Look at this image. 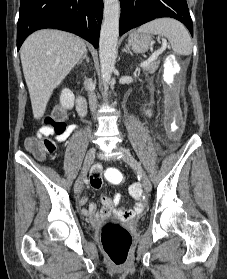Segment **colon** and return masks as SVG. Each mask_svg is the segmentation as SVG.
<instances>
[{
    "instance_id": "obj_1",
    "label": "colon",
    "mask_w": 227,
    "mask_h": 279,
    "mask_svg": "<svg viewBox=\"0 0 227 279\" xmlns=\"http://www.w3.org/2000/svg\"><path fill=\"white\" fill-rule=\"evenodd\" d=\"M184 104V96H181V105L184 106ZM64 114L65 112L62 108H57L53 116L45 118L44 123L51 126L54 132L61 133L66 128V124L62 119ZM55 148V143L45 138L31 139L27 142V149L39 159H44ZM98 170L96 168L94 172ZM108 179L114 183H123L125 181L123 173L118 169L110 171ZM101 242L104 251L113 263L122 265L127 261L132 239L125 227L116 223L107 224L102 230Z\"/></svg>"
}]
</instances>
